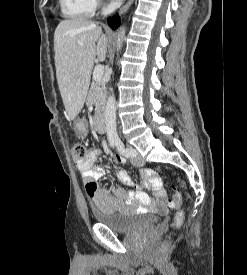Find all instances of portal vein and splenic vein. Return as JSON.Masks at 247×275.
I'll list each match as a JSON object with an SVG mask.
<instances>
[{"label":"portal vein and splenic vein","mask_w":247,"mask_h":275,"mask_svg":"<svg viewBox=\"0 0 247 275\" xmlns=\"http://www.w3.org/2000/svg\"><path fill=\"white\" fill-rule=\"evenodd\" d=\"M103 73H104V66L102 65L96 66L93 72V79L100 80L103 76Z\"/></svg>","instance_id":"1"}]
</instances>
